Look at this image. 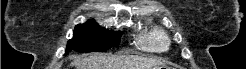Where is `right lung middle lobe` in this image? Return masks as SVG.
<instances>
[{"mask_svg":"<svg viewBox=\"0 0 246 69\" xmlns=\"http://www.w3.org/2000/svg\"><path fill=\"white\" fill-rule=\"evenodd\" d=\"M121 32H113L98 26L94 21L79 24L74 29V37L68 41L65 55L70 51L105 52L120 43Z\"/></svg>","mask_w":246,"mask_h":69,"instance_id":"right-lung-middle-lobe-1","label":"right lung middle lobe"}]
</instances>
